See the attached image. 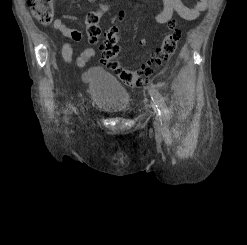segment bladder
Listing matches in <instances>:
<instances>
[{"instance_id": "1", "label": "bladder", "mask_w": 247, "mask_h": 245, "mask_svg": "<svg viewBox=\"0 0 247 245\" xmlns=\"http://www.w3.org/2000/svg\"><path fill=\"white\" fill-rule=\"evenodd\" d=\"M92 103L110 114L125 113L129 109V95L107 70L96 67L86 74Z\"/></svg>"}]
</instances>
